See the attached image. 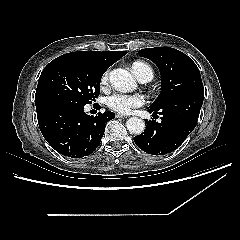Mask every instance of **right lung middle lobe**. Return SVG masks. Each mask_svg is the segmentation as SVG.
<instances>
[{"label":"right lung middle lobe","mask_w":240,"mask_h":240,"mask_svg":"<svg viewBox=\"0 0 240 240\" xmlns=\"http://www.w3.org/2000/svg\"><path fill=\"white\" fill-rule=\"evenodd\" d=\"M103 73L83 59L59 56L40 75L35 105L57 100L90 104L99 95Z\"/></svg>","instance_id":"obj_1"}]
</instances>
